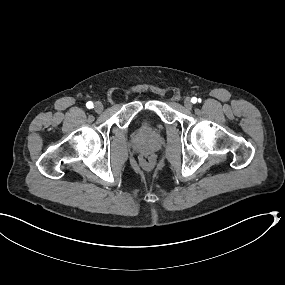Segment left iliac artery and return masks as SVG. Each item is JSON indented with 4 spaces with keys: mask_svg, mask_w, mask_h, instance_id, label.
Here are the masks:
<instances>
[{
    "mask_svg": "<svg viewBox=\"0 0 285 285\" xmlns=\"http://www.w3.org/2000/svg\"><path fill=\"white\" fill-rule=\"evenodd\" d=\"M198 101H199V99H198ZM191 102H192V103H196V102H197V98H196V97H193V98L191 99Z\"/></svg>",
    "mask_w": 285,
    "mask_h": 285,
    "instance_id": "left-iliac-artery-1",
    "label": "left iliac artery"
}]
</instances>
